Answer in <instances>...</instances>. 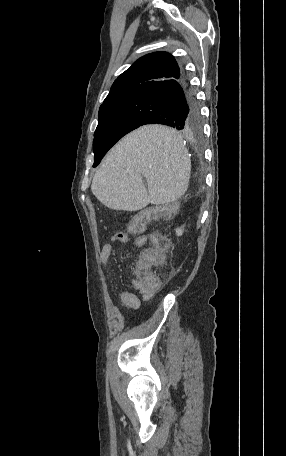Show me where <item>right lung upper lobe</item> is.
I'll use <instances>...</instances> for the list:
<instances>
[{
    "instance_id": "right-lung-upper-lobe-1",
    "label": "right lung upper lobe",
    "mask_w": 286,
    "mask_h": 456,
    "mask_svg": "<svg viewBox=\"0 0 286 456\" xmlns=\"http://www.w3.org/2000/svg\"><path fill=\"white\" fill-rule=\"evenodd\" d=\"M180 76L179 66L171 54L167 52L147 54L139 58L115 80L102 105L127 97L131 93L151 84Z\"/></svg>"
}]
</instances>
